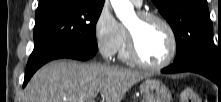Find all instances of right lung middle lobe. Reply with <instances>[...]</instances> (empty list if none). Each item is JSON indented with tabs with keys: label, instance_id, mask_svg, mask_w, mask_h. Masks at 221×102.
<instances>
[{
	"label": "right lung middle lobe",
	"instance_id": "right-lung-middle-lobe-1",
	"mask_svg": "<svg viewBox=\"0 0 221 102\" xmlns=\"http://www.w3.org/2000/svg\"><path fill=\"white\" fill-rule=\"evenodd\" d=\"M104 3L84 0H53L38 6L35 13L34 49L28 64L67 45L98 50L95 24Z\"/></svg>",
	"mask_w": 221,
	"mask_h": 102
}]
</instances>
